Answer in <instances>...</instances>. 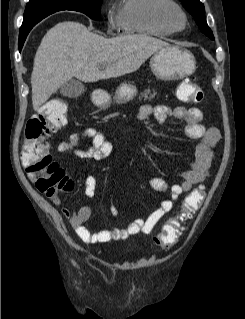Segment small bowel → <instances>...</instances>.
<instances>
[{"label":"small bowel","mask_w":245,"mask_h":319,"mask_svg":"<svg viewBox=\"0 0 245 319\" xmlns=\"http://www.w3.org/2000/svg\"><path fill=\"white\" fill-rule=\"evenodd\" d=\"M154 117L158 122L165 121L168 117L176 120H182L185 123V135L192 140H201L198 144L195 155L192 158L189 168L183 173V180L180 184H175L169 187L167 183L159 177L150 179V186L155 191L170 190L171 198L163 200L160 205L146 218H137L130 222L123 229L103 230L97 233H91L85 223L92 216V209L85 205L78 210L68 208L62 209V214L69 219L75 233L85 244L105 243L114 239H126L135 234H149L155 228L157 223L163 216L169 213L178 198L194 186L203 182L209 174L211 161L213 158V146L219 139V133L214 128H208L201 124L203 118L202 111L196 107L187 108L177 106L173 109L167 106L152 107L151 105H143L138 112L139 120H147ZM83 138L91 139L92 146L89 149H77L76 145ZM57 150L59 152H74L76 156L85 160L99 161L108 157L113 150V147L105 136L93 127H87L81 132L71 133L67 140L61 141ZM32 179L35 176L29 174ZM98 179L93 176H87L84 179V189L87 197L92 198L95 195ZM53 201L59 204V200L53 196ZM110 211L114 216L119 214L117 207L111 203Z\"/></svg>","instance_id":"obj_1"}]
</instances>
